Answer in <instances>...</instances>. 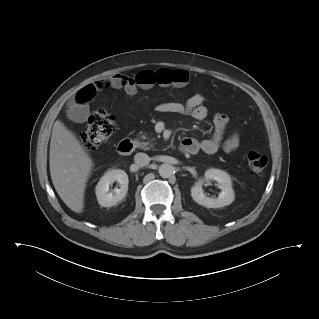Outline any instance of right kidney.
Returning <instances> with one entry per match:
<instances>
[{
	"label": "right kidney",
	"instance_id": "ca27d5eb",
	"mask_svg": "<svg viewBox=\"0 0 319 319\" xmlns=\"http://www.w3.org/2000/svg\"><path fill=\"white\" fill-rule=\"evenodd\" d=\"M115 181L118 182L120 188H116L113 193L109 192V186ZM128 183V175L124 170H108L96 186V197L99 205L111 207L121 201L128 191Z\"/></svg>",
	"mask_w": 319,
	"mask_h": 319
}]
</instances>
